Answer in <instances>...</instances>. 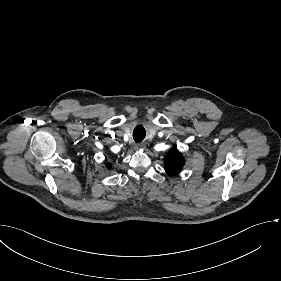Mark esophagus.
I'll return each mask as SVG.
<instances>
[{"label": "esophagus", "instance_id": "34e87169", "mask_svg": "<svg viewBox=\"0 0 281 281\" xmlns=\"http://www.w3.org/2000/svg\"><path fill=\"white\" fill-rule=\"evenodd\" d=\"M144 147H145V144H143V143H139V144H136V145L134 146V148H135L136 150L143 149Z\"/></svg>", "mask_w": 281, "mask_h": 281}]
</instances>
